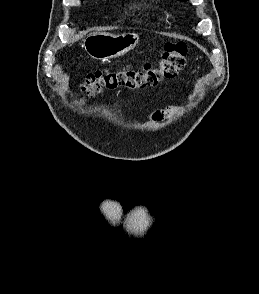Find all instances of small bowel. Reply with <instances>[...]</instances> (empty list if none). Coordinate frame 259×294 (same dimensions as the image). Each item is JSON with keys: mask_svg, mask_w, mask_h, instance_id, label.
I'll use <instances>...</instances> for the list:
<instances>
[{"mask_svg": "<svg viewBox=\"0 0 259 294\" xmlns=\"http://www.w3.org/2000/svg\"><path fill=\"white\" fill-rule=\"evenodd\" d=\"M181 112L182 109L178 107H167L166 109L152 112L150 115V119L155 122H160L172 114H180Z\"/></svg>", "mask_w": 259, "mask_h": 294, "instance_id": "1", "label": "small bowel"}]
</instances>
